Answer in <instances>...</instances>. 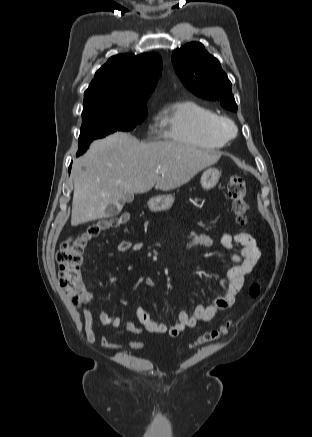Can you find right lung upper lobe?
<instances>
[{
	"label": "right lung upper lobe",
	"mask_w": 312,
	"mask_h": 437,
	"mask_svg": "<svg viewBox=\"0 0 312 437\" xmlns=\"http://www.w3.org/2000/svg\"><path fill=\"white\" fill-rule=\"evenodd\" d=\"M162 60L156 53L111 57L96 73L84 93L83 110H133L146 106L161 76Z\"/></svg>",
	"instance_id": "1"
}]
</instances>
